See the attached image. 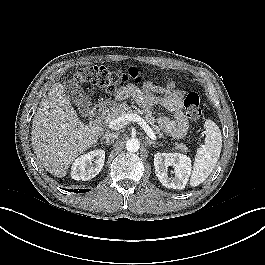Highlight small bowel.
<instances>
[{
	"label": "small bowel",
	"mask_w": 265,
	"mask_h": 265,
	"mask_svg": "<svg viewBox=\"0 0 265 265\" xmlns=\"http://www.w3.org/2000/svg\"><path fill=\"white\" fill-rule=\"evenodd\" d=\"M129 72L133 74L137 71L131 69ZM115 97L117 100L134 98L143 109L154 106L163 107L171 117H159L158 126L173 138H181L185 135L188 121L183 113V93L175 88L174 83L158 86L146 81L138 85L135 81L123 86Z\"/></svg>",
	"instance_id": "small-bowel-1"
}]
</instances>
